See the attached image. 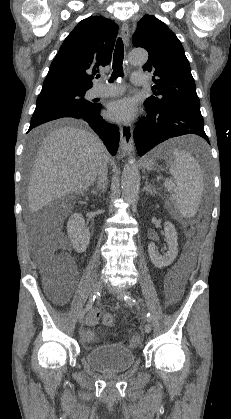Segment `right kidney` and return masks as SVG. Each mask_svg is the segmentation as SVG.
I'll use <instances>...</instances> for the list:
<instances>
[{
  "label": "right kidney",
  "mask_w": 231,
  "mask_h": 419,
  "mask_svg": "<svg viewBox=\"0 0 231 419\" xmlns=\"http://www.w3.org/2000/svg\"><path fill=\"white\" fill-rule=\"evenodd\" d=\"M67 233L75 251L78 253L84 252L90 242V232L86 228L81 214L75 213L71 215L67 222Z\"/></svg>",
  "instance_id": "obj_1"
}]
</instances>
